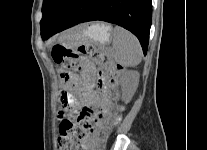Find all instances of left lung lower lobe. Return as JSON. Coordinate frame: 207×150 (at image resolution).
Masks as SVG:
<instances>
[{
    "instance_id": "0a47b994",
    "label": "left lung lower lobe",
    "mask_w": 207,
    "mask_h": 150,
    "mask_svg": "<svg viewBox=\"0 0 207 150\" xmlns=\"http://www.w3.org/2000/svg\"><path fill=\"white\" fill-rule=\"evenodd\" d=\"M151 18V0H74L56 24L41 36L45 40L79 23L102 20L131 31L146 55Z\"/></svg>"
}]
</instances>
